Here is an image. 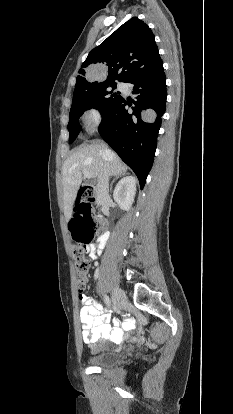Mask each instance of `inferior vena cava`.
I'll return each instance as SVG.
<instances>
[{
  "label": "inferior vena cava",
  "mask_w": 233,
  "mask_h": 414,
  "mask_svg": "<svg viewBox=\"0 0 233 414\" xmlns=\"http://www.w3.org/2000/svg\"><path fill=\"white\" fill-rule=\"evenodd\" d=\"M109 163H105L102 172L98 176L97 180V204L103 205L109 199V177H110V170H109Z\"/></svg>",
  "instance_id": "obj_1"
}]
</instances>
